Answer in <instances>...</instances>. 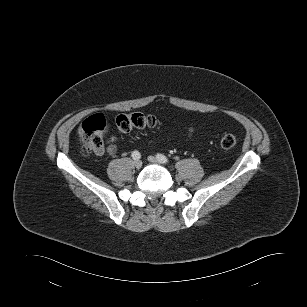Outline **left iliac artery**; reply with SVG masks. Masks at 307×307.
Segmentation results:
<instances>
[{
	"label": "left iliac artery",
	"instance_id": "obj_1",
	"mask_svg": "<svg viewBox=\"0 0 307 307\" xmlns=\"http://www.w3.org/2000/svg\"><path fill=\"white\" fill-rule=\"evenodd\" d=\"M156 158H157L161 163H168V162H169L168 158H167L165 155H163V154H157V155H156Z\"/></svg>",
	"mask_w": 307,
	"mask_h": 307
}]
</instances>
